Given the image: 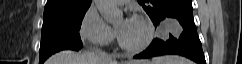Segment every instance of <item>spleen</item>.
<instances>
[{
	"mask_svg": "<svg viewBox=\"0 0 242 64\" xmlns=\"http://www.w3.org/2000/svg\"><path fill=\"white\" fill-rule=\"evenodd\" d=\"M151 64H192V63L183 57L169 55V56L154 58Z\"/></svg>",
	"mask_w": 242,
	"mask_h": 64,
	"instance_id": "obj_1",
	"label": "spleen"
}]
</instances>
